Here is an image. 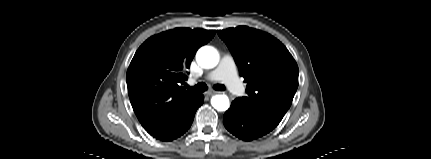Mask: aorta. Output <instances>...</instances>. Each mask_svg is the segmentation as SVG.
Here are the masks:
<instances>
[{
  "instance_id": "obj_1",
  "label": "aorta",
  "mask_w": 431,
  "mask_h": 159,
  "mask_svg": "<svg viewBox=\"0 0 431 159\" xmlns=\"http://www.w3.org/2000/svg\"><path fill=\"white\" fill-rule=\"evenodd\" d=\"M197 63L206 69L214 68L219 62L217 50L211 46L201 47L196 54ZM211 105L217 111L228 110L230 103L226 95H215L211 99Z\"/></svg>"
}]
</instances>
